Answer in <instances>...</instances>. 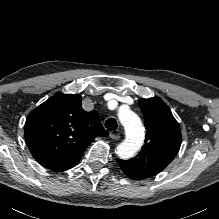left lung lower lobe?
<instances>
[{
    "label": "left lung lower lobe",
    "instance_id": "left-lung-lower-lobe-1",
    "mask_svg": "<svg viewBox=\"0 0 219 219\" xmlns=\"http://www.w3.org/2000/svg\"><path fill=\"white\" fill-rule=\"evenodd\" d=\"M128 177H130L131 179H135V178H133V176L130 174V173H128V174H126ZM136 180V179H135Z\"/></svg>",
    "mask_w": 219,
    "mask_h": 219
}]
</instances>
